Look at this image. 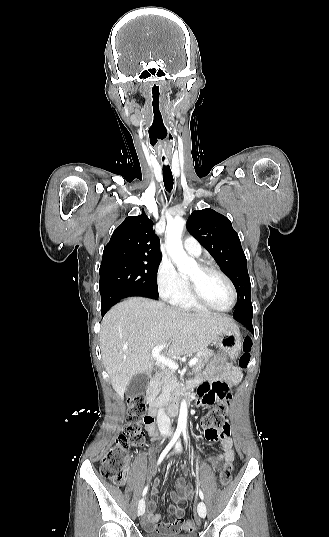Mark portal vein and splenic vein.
<instances>
[{
    "label": "portal vein and splenic vein",
    "mask_w": 329,
    "mask_h": 537,
    "mask_svg": "<svg viewBox=\"0 0 329 537\" xmlns=\"http://www.w3.org/2000/svg\"><path fill=\"white\" fill-rule=\"evenodd\" d=\"M165 346L166 345H158V346L153 347L152 356L155 358V360L158 363H161V364L169 367L172 370H177L178 369V364L175 361L160 355V351H162ZM196 363H197V358H194L189 362L188 365H189V367H193Z\"/></svg>",
    "instance_id": "obj_1"
}]
</instances>
